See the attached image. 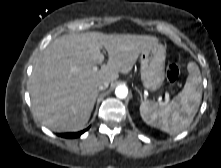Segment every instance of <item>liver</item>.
<instances>
[{
	"label": "liver",
	"mask_w": 221,
	"mask_h": 168,
	"mask_svg": "<svg viewBox=\"0 0 221 168\" xmlns=\"http://www.w3.org/2000/svg\"><path fill=\"white\" fill-rule=\"evenodd\" d=\"M148 35L86 32L60 36L36 61L29 80L34 115L55 132L79 131L89 121L101 83L129 73L141 52L157 46ZM108 52V62L97 71Z\"/></svg>",
	"instance_id": "liver-1"
}]
</instances>
